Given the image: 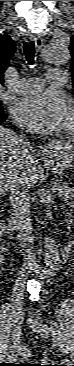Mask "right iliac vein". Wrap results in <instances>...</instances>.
Here are the masks:
<instances>
[{
    "label": "right iliac vein",
    "mask_w": 74,
    "mask_h": 366,
    "mask_svg": "<svg viewBox=\"0 0 74 366\" xmlns=\"http://www.w3.org/2000/svg\"><path fill=\"white\" fill-rule=\"evenodd\" d=\"M22 322H23V317L20 313H14V320H13V336L14 338L17 340L20 336V332H21V328H22ZM17 344V342H16ZM15 344V346H16ZM14 348V346H12V349Z\"/></svg>",
    "instance_id": "1"
}]
</instances>
